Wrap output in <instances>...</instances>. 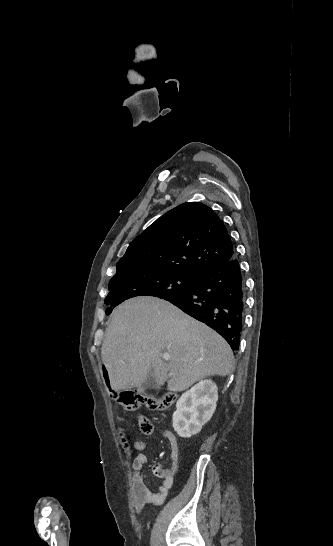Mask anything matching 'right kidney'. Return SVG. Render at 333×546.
<instances>
[{"label":"right kidney","instance_id":"ca27d5eb","mask_svg":"<svg viewBox=\"0 0 333 546\" xmlns=\"http://www.w3.org/2000/svg\"><path fill=\"white\" fill-rule=\"evenodd\" d=\"M218 400L217 385L202 380L181 395L173 413V428L180 437L189 438L201 431L212 417Z\"/></svg>","mask_w":333,"mask_h":546}]
</instances>
